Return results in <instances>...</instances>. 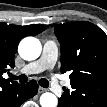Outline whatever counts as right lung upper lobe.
<instances>
[{"mask_svg": "<svg viewBox=\"0 0 107 107\" xmlns=\"http://www.w3.org/2000/svg\"><path fill=\"white\" fill-rule=\"evenodd\" d=\"M45 29L44 25L33 24L27 26L5 25L0 24V81H4V86L10 85L7 79L2 77L6 71L3 69L8 64L14 65V54L16 53L17 46L21 38L28 35H36ZM12 84H18L12 81Z\"/></svg>", "mask_w": 107, "mask_h": 107, "instance_id": "obj_1", "label": "right lung upper lobe"}]
</instances>
